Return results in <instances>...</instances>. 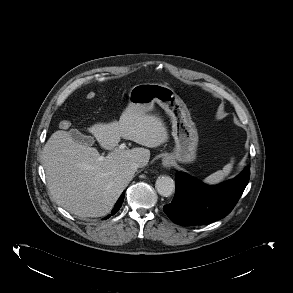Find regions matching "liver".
Listing matches in <instances>:
<instances>
[{
  "mask_svg": "<svg viewBox=\"0 0 293 293\" xmlns=\"http://www.w3.org/2000/svg\"><path fill=\"white\" fill-rule=\"evenodd\" d=\"M88 130L102 148L111 151L104 160H99L97 149L59 130L45 144L42 161L50 194L58 205L79 217H101L111 211L132 180L131 163L147 164L150 159L146 148H116L121 137L154 148L168 141V132L159 117L128 108L119 122L96 123Z\"/></svg>",
  "mask_w": 293,
  "mask_h": 293,
  "instance_id": "liver-1",
  "label": "liver"
}]
</instances>
